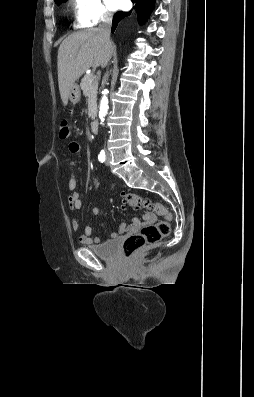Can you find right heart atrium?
Instances as JSON below:
<instances>
[{
    "label": "right heart atrium",
    "mask_w": 254,
    "mask_h": 397,
    "mask_svg": "<svg viewBox=\"0 0 254 397\" xmlns=\"http://www.w3.org/2000/svg\"><path fill=\"white\" fill-rule=\"evenodd\" d=\"M110 19L101 0H75V20L81 28L92 27Z\"/></svg>",
    "instance_id": "d8ad5b80"
}]
</instances>
